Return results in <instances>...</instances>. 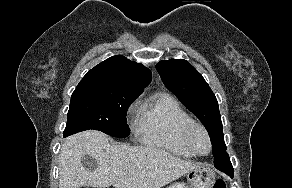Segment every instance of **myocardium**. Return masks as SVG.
<instances>
[{
	"instance_id": "f54148a6",
	"label": "myocardium",
	"mask_w": 292,
	"mask_h": 188,
	"mask_svg": "<svg viewBox=\"0 0 292 188\" xmlns=\"http://www.w3.org/2000/svg\"><path fill=\"white\" fill-rule=\"evenodd\" d=\"M195 130H200L204 133V135L207 138L208 144H209V149L206 153H200L196 150V148L194 147L193 143H192V134ZM182 139L184 144L186 145V147L194 154V155H198V156H207L210 154V152L212 151V139L211 136L207 130V128L196 121H191L188 124H186L182 130Z\"/></svg>"
}]
</instances>
